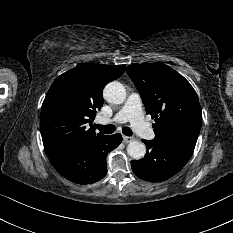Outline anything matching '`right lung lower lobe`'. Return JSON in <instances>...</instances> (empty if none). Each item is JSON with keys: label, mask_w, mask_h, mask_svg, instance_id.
<instances>
[{"label": "right lung lower lobe", "mask_w": 233, "mask_h": 233, "mask_svg": "<svg viewBox=\"0 0 233 233\" xmlns=\"http://www.w3.org/2000/svg\"><path fill=\"white\" fill-rule=\"evenodd\" d=\"M117 133L101 136L90 141L48 155L53 167L66 179L77 184L95 183L107 173V154L121 143Z\"/></svg>", "instance_id": "right-lung-lower-lobe-1"}]
</instances>
